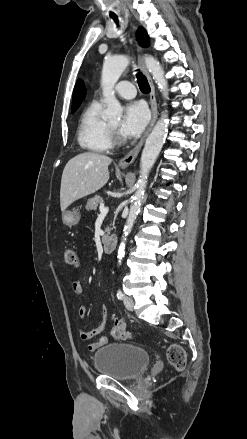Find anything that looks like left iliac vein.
<instances>
[{
	"label": "left iliac vein",
	"instance_id": "4c4485c4",
	"mask_svg": "<svg viewBox=\"0 0 247 439\" xmlns=\"http://www.w3.org/2000/svg\"><path fill=\"white\" fill-rule=\"evenodd\" d=\"M124 305L125 307L129 310V311H133L134 308V301L131 297L129 296H125L123 299Z\"/></svg>",
	"mask_w": 247,
	"mask_h": 439
}]
</instances>
